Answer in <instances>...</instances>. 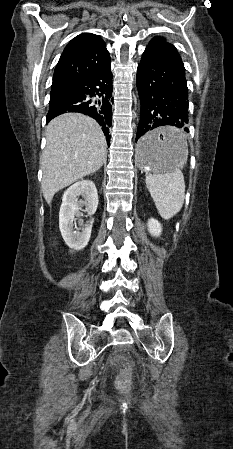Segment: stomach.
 Returning <instances> with one entry per match:
<instances>
[{
	"mask_svg": "<svg viewBox=\"0 0 233 449\" xmlns=\"http://www.w3.org/2000/svg\"><path fill=\"white\" fill-rule=\"evenodd\" d=\"M186 155L185 142L180 140L179 143L177 130L151 128L137 145L136 162L144 169L168 171L181 165Z\"/></svg>",
	"mask_w": 233,
	"mask_h": 449,
	"instance_id": "1",
	"label": "stomach"
}]
</instances>
